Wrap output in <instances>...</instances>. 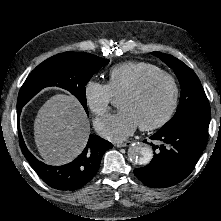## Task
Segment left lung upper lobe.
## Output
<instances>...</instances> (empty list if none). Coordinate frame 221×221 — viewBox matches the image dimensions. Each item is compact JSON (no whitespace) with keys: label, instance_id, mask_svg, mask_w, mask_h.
<instances>
[{"label":"left lung upper lobe","instance_id":"5c2ea615","mask_svg":"<svg viewBox=\"0 0 221 221\" xmlns=\"http://www.w3.org/2000/svg\"><path fill=\"white\" fill-rule=\"evenodd\" d=\"M172 68L181 86L179 106L173 118L160 131H173L177 128L196 124L208 128L211 118L209 101L194 71L179 59L160 52H152Z\"/></svg>","mask_w":221,"mask_h":221}]
</instances>
